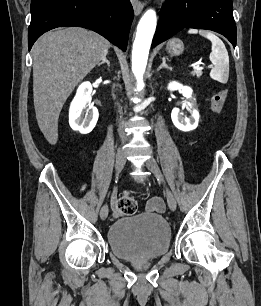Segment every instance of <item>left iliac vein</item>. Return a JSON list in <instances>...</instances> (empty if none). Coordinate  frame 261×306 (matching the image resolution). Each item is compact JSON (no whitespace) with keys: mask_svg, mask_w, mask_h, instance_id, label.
Returning a JSON list of instances; mask_svg holds the SVG:
<instances>
[{"mask_svg":"<svg viewBox=\"0 0 261 306\" xmlns=\"http://www.w3.org/2000/svg\"><path fill=\"white\" fill-rule=\"evenodd\" d=\"M145 164H146V167L155 175V177L160 182L164 183V177H163L157 163L155 162V160L149 159V160L146 161ZM165 195H166L167 203H168V206H169L170 210L175 211L177 203H176V199H175L173 193L168 188H166Z\"/></svg>","mask_w":261,"mask_h":306,"instance_id":"obj_1","label":"left iliac vein"}]
</instances>
